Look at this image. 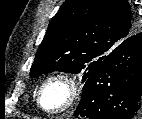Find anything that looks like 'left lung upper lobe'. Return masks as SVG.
I'll use <instances>...</instances> for the list:
<instances>
[{"label": "left lung upper lobe", "mask_w": 142, "mask_h": 119, "mask_svg": "<svg viewBox=\"0 0 142 119\" xmlns=\"http://www.w3.org/2000/svg\"><path fill=\"white\" fill-rule=\"evenodd\" d=\"M127 0H66L52 18L30 70L82 73V83L123 40L137 33Z\"/></svg>", "instance_id": "1"}]
</instances>
